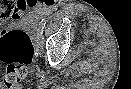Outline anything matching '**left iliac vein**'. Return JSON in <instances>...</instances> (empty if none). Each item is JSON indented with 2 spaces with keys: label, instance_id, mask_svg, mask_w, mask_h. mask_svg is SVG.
<instances>
[{
  "label": "left iliac vein",
  "instance_id": "obj_1",
  "mask_svg": "<svg viewBox=\"0 0 131 89\" xmlns=\"http://www.w3.org/2000/svg\"><path fill=\"white\" fill-rule=\"evenodd\" d=\"M38 48H40V49H41V45H38Z\"/></svg>",
  "mask_w": 131,
  "mask_h": 89
}]
</instances>
